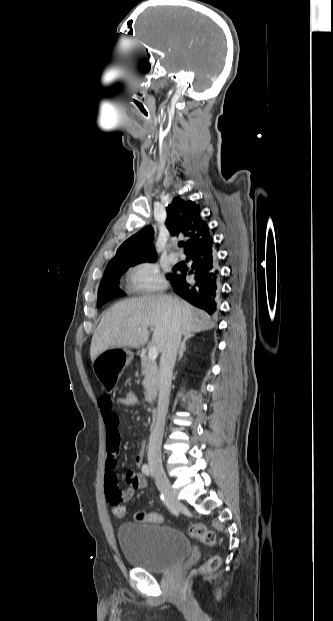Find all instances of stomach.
I'll use <instances>...</instances> for the list:
<instances>
[{
	"label": "stomach",
	"instance_id": "obj_1",
	"mask_svg": "<svg viewBox=\"0 0 333 621\" xmlns=\"http://www.w3.org/2000/svg\"><path fill=\"white\" fill-rule=\"evenodd\" d=\"M133 360V352L128 349L114 348L102 350L93 362V369L98 378L104 383L107 391L115 388L118 374Z\"/></svg>",
	"mask_w": 333,
	"mask_h": 621
}]
</instances>
